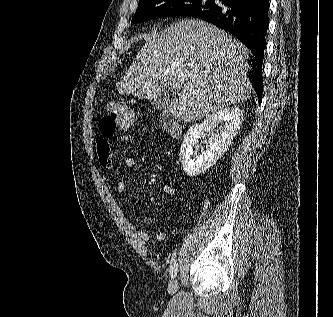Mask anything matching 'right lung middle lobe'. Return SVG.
I'll use <instances>...</instances> for the list:
<instances>
[{"instance_id": "obj_1", "label": "right lung middle lobe", "mask_w": 333, "mask_h": 317, "mask_svg": "<svg viewBox=\"0 0 333 317\" xmlns=\"http://www.w3.org/2000/svg\"><path fill=\"white\" fill-rule=\"evenodd\" d=\"M216 7L215 0H141L132 22L162 16H195Z\"/></svg>"}]
</instances>
